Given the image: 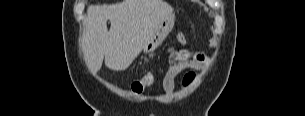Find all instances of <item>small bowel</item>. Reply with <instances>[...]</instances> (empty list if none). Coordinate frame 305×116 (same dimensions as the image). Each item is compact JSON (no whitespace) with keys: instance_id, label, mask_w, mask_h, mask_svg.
<instances>
[{"instance_id":"1","label":"small bowel","mask_w":305,"mask_h":116,"mask_svg":"<svg viewBox=\"0 0 305 116\" xmlns=\"http://www.w3.org/2000/svg\"><path fill=\"white\" fill-rule=\"evenodd\" d=\"M203 53H190L185 49H171L169 51V66L162 80V87L167 95H172L175 89V79L187 70H200L206 63ZM185 76L183 86H188L195 78Z\"/></svg>"}]
</instances>
